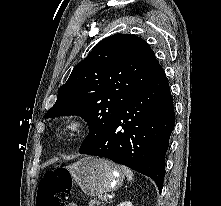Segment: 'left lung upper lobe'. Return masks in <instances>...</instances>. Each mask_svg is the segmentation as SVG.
Wrapping results in <instances>:
<instances>
[{"mask_svg": "<svg viewBox=\"0 0 221 206\" xmlns=\"http://www.w3.org/2000/svg\"><path fill=\"white\" fill-rule=\"evenodd\" d=\"M162 74L153 50L143 39L131 34L112 35L74 67L45 116H82L89 134L81 150L98 140L127 103Z\"/></svg>", "mask_w": 221, "mask_h": 206, "instance_id": "1", "label": "left lung upper lobe"}]
</instances>
